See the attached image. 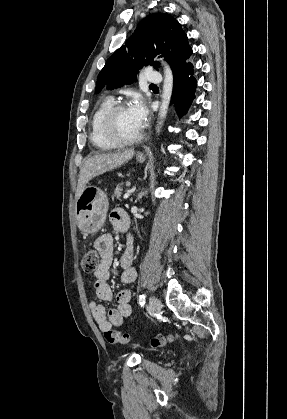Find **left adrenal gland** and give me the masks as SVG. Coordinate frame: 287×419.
<instances>
[{
    "label": "left adrenal gland",
    "mask_w": 287,
    "mask_h": 419,
    "mask_svg": "<svg viewBox=\"0 0 287 419\" xmlns=\"http://www.w3.org/2000/svg\"><path fill=\"white\" fill-rule=\"evenodd\" d=\"M142 196H143V193H139L138 196H137V200H140L142 198Z\"/></svg>",
    "instance_id": "a2214340"
}]
</instances>
